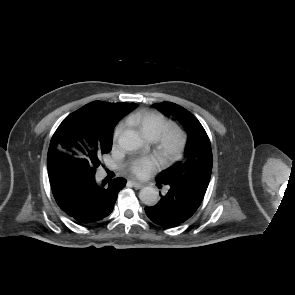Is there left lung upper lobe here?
<instances>
[{"mask_svg":"<svg viewBox=\"0 0 295 295\" xmlns=\"http://www.w3.org/2000/svg\"><path fill=\"white\" fill-rule=\"evenodd\" d=\"M162 107L185 124L187 142L183 158L162 171L156 181L162 184L176 183L206 192L212 171V150L206 131L185 108L171 102H163Z\"/></svg>","mask_w":295,"mask_h":295,"instance_id":"obj_1","label":"left lung upper lobe"}]
</instances>
